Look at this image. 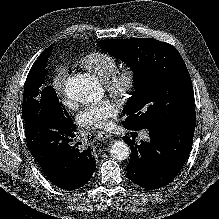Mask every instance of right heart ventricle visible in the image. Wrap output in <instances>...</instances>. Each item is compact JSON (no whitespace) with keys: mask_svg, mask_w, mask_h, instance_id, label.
I'll return each mask as SVG.
<instances>
[{"mask_svg":"<svg viewBox=\"0 0 219 219\" xmlns=\"http://www.w3.org/2000/svg\"><path fill=\"white\" fill-rule=\"evenodd\" d=\"M80 65L88 72L105 82L118 69V62L114 56L106 52H93L82 57Z\"/></svg>","mask_w":219,"mask_h":219,"instance_id":"e07e8e85","label":"right heart ventricle"}]
</instances>
